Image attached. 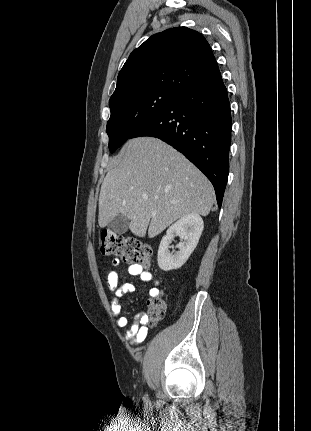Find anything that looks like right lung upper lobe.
I'll list each match as a JSON object with an SVG mask.
<instances>
[{"mask_svg":"<svg viewBox=\"0 0 311 431\" xmlns=\"http://www.w3.org/2000/svg\"><path fill=\"white\" fill-rule=\"evenodd\" d=\"M220 75L213 52L199 32L171 28L152 35L130 54L111 98L147 89L181 94Z\"/></svg>","mask_w":311,"mask_h":431,"instance_id":"cb5924a9","label":"right lung upper lobe"}]
</instances>
